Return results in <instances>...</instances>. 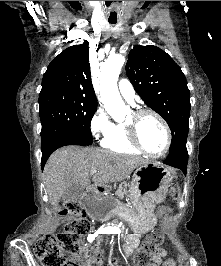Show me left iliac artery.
Listing matches in <instances>:
<instances>
[{
  "label": "left iliac artery",
  "mask_w": 221,
  "mask_h": 266,
  "mask_svg": "<svg viewBox=\"0 0 221 266\" xmlns=\"http://www.w3.org/2000/svg\"><path fill=\"white\" fill-rule=\"evenodd\" d=\"M114 232H110V233H108V234H113Z\"/></svg>",
  "instance_id": "left-iliac-artery-1"
}]
</instances>
